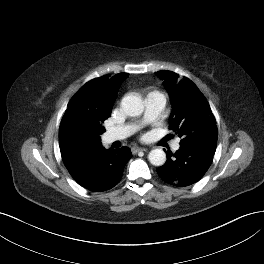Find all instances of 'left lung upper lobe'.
Segmentation results:
<instances>
[{"mask_svg":"<svg viewBox=\"0 0 264 264\" xmlns=\"http://www.w3.org/2000/svg\"><path fill=\"white\" fill-rule=\"evenodd\" d=\"M156 75L170 95L172 114L169 128L181 138L180 146L216 150L218 130L209 103L196 85L171 71Z\"/></svg>","mask_w":264,"mask_h":264,"instance_id":"left-lung-upper-lobe-1","label":"left lung upper lobe"}]
</instances>
